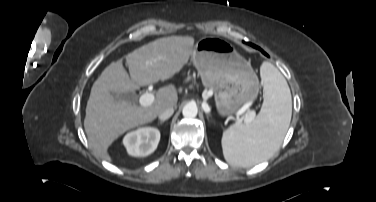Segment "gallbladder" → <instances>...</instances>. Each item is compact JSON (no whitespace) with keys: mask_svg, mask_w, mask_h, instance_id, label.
I'll use <instances>...</instances> for the list:
<instances>
[{"mask_svg":"<svg viewBox=\"0 0 376 202\" xmlns=\"http://www.w3.org/2000/svg\"><path fill=\"white\" fill-rule=\"evenodd\" d=\"M111 95L115 100L122 101V100H129L132 93H117V92H111Z\"/></svg>","mask_w":376,"mask_h":202,"instance_id":"bac80fb5","label":"gallbladder"}]
</instances>
